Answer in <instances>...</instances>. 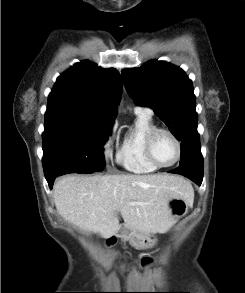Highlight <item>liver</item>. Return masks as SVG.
<instances>
[{"instance_id": "obj_1", "label": "liver", "mask_w": 245, "mask_h": 293, "mask_svg": "<svg viewBox=\"0 0 245 293\" xmlns=\"http://www.w3.org/2000/svg\"><path fill=\"white\" fill-rule=\"evenodd\" d=\"M59 215L80 229L110 238L124 227L143 234L166 233L175 223L169 209L171 198L193 204L194 193L183 178L151 175H68L53 190Z\"/></svg>"}]
</instances>
